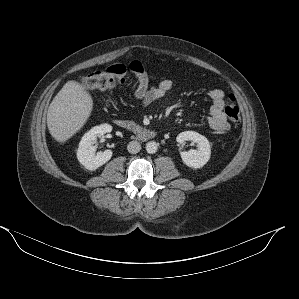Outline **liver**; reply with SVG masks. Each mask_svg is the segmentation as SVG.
Returning <instances> with one entry per match:
<instances>
[{
    "mask_svg": "<svg viewBox=\"0 0 299 299\" xmlns=\"http://www.w3.org/2000/svg\"><path fill=\"white\" fill-rule=\"evenodd\" d=\"M92 106L91 97L79 84L67 82L48 108L47 126L51 136L57 142H66L86 123Z\"/></svg>",
    "mask_w": 299,
    "mask_h": 299,
    "instance_id": "1",
    "label": "liver"
}]
</instances>
